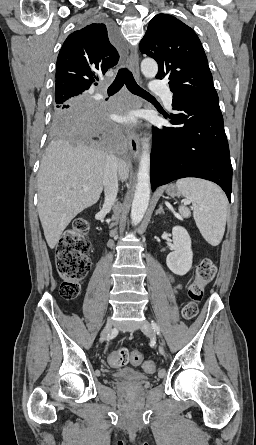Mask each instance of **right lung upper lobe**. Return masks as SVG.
Segmentation results:
<instances>
[{
	"label": "right lung upper lobe",
	"instance_id": "1",
	"mask_svg": "<svg viewBox=\"0 0 256 445\" xmlns=\"http://www.w3.org/2000/svg\"><path fill=\"white\" fill-rule=\"evenodd\" d=\"M119 54L105 23L70 34L58 54L55 96L87 93L98 76L117 64Z\"/></svg>",
	"mask_w": 256,
	"mask_h": 445
}]
</instances>
